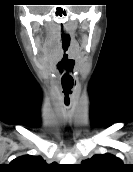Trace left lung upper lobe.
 <instances>
[{
  "instance_id": "obj_1",
  "label": "left lung upper lobe",
  "mask_w": 133,
  "mask_h": 172,
  "mask_svg": "<svg viewBox=\"0 0 133 172\" xmlns=\"http://www.w3.org/2000/svg\"><path fill=\"white\" fill-rule=\"evenodd\" d=\"M82 166L89 172H116L122 168L123 163L119 158L107 153L82 161Z\"/></svg>"
}]
</instances>
